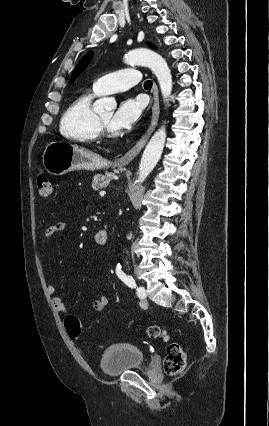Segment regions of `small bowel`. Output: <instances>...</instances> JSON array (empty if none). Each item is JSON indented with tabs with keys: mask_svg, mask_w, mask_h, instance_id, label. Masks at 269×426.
Returning <instances> with one entry per match:
<instances>
[{
	"mask_svg": "<svg viewBox=\"0 0 269 426\" xmlns=\"http://www.w3.org/2000/svg\"><path fill=\"white\" fill-rule=\"evenodd\" d=\"M66 229V224L63 221H58L53 223L51 226H49L43 236V243L47 244L54 236L62 233ZM47 292L52 296V303L55 307L56 311L64 316L67 313L66 305L64 300L56 295V288L51 282V280H48L47 283ZM109 300L104 295H99L93 300V309L101 313L105 310V308L108 306Z\"/></svg>",
	"mask_w": 269,
	"mask_h": 426,
	"instance_id": "1",
	"label": "small bowel"
}]
</instances>
